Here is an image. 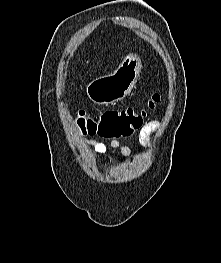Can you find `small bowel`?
<instances>
[{"mask_svg":"<svg viewBox=\"0 0 221 263\" xmlns=\"http://www.w3.org/2000/svg\"><path fill=\"white\" fill-rule=\"evenodd\" d=\"M157 126L158 123L152 122L141 128L139 132V141L142 145L150 144V135ZM109 149H118L121 152V154L126 157L131 155V149L128 146L121 144L117 140H112L109 143H92V147L89 150H87V153L92 157L99 158L105 161Z\"/></svg>","mask_w":221,"mask_h":263,"instance_id":"obj_1","label":"small bowel"}]
</instances>
